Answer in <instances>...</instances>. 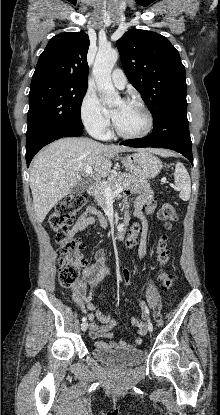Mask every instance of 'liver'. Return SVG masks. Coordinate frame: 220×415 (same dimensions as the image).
I'll return each instance as SVG.
<instances>
[{
    "label": "liver",
    "mask_w": 220,
    "mask_h": 415,
    "mask_svg": "<svg viewBox=\"0 0 220 415\" xmlns=\"http://www.w3.org/2000/svg\"><path fill=\"white\" fill-rule=\"evenodd\" d=\"M136 151L130 147L104 145L84 137L59 139L38 153L30 166V188L38 221L81 181V172L91 166L101 177L111 172L110 158L121 152ZM138 151V150H137ZM155 152L173 155L164 150Z\"/></svg>",
    "instance_id": "6515ba94"
}]
</instances>
